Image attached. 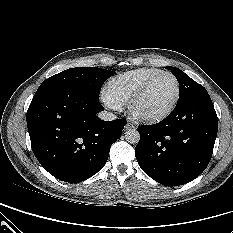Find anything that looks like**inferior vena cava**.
<instances>
[{
    "mask_svg": "<svg viewBox=\"0 0 233 233\" xmlns=\"http://www.w3.org/2000/svg\"><path fill=\"white\" fill-rule=\"evenodd\" d=\"M98 117L102 120H106V121H112L116 119V116L111 113V112H107V111H102L98 114Z\"/></svg>",
    "mask_w": 233,
    "mask_h": 233,
    "instance_id": "1",
    "label": "inferior vena cava"
}]
</instances>
